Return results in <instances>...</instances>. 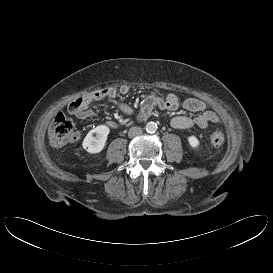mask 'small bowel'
<instances>
[{
	"mask_svg": "<svg viewBox=\"0 0 273 273\" xmlns=\"http://www.w3.org/2000/svg\"><path fill=\"white\" fill-rule=\"evenodd\" d=\"M130 91V87L123 85L120 88L122 94H127ZM117 91L114 88H107L100 91L92 92L83 98L77 99L70 103L68 111L71 115L80 120L92 118L94 113L89 109V106L99 100L114 98ZM162 110H176L181 108L184 111L191 113H199L196 117L189 116H175L171 119V125L177 129H188L194 126L206 129L210 123L220 122V117L216 112L211 110L208 105L197 98L180 99L175 94H169L165 98H161L155 95L147 96L141 103L139 108V118H147L154 108ZM119 110L127 115L132 114V108L125 104H118ZM114 125V123H109Z\"/></svg>",
	"mask_w": 273,
	"mask_h": 273,
	"instance_id": "c3829d8e",
	"label": "small bowel"
}]
</instances>
